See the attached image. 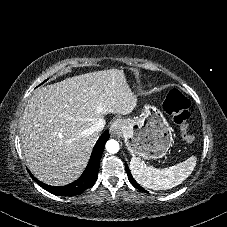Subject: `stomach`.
<instances>
[{
	"instance_id": "obj_1",
	"label": "stomach",
	"mask_w": 227,
	"mask_h": 227,
	"mask_svg": "<svg viewBox=\"0 0 227 227\" xmlns=\"http://www.w3.org/2000/svg\"><path fill=\"white\" fill-rule=\"evenodd\" d=\"M122 136L128 151L144 159L166 155L172 145V130L163 114L152 105H145L136 118L122 120Z\"/></svg>"
}]
</instances>
